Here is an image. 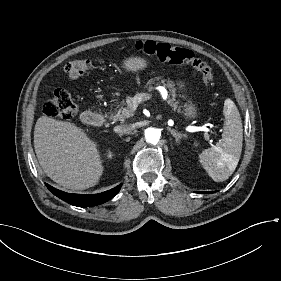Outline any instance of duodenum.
Returning a JSON list of instances; mask_svg holds the SVG:
<instances>
[{"mask_svg":"<svg viewBox=\"0 0 281 281\" xmlns=\"http://www.w3.org/2000/svg\"><path fill=\"white\" fill-rule=\"evenodd\" d=\"M81 120L83 123L91 126H96L104 121V118L92 111L86 110L81 115Z\"/></svg>","mask_w":281,"mask_h":281,"instance_id":"obj_1","label":"duodenum"}]
</instances>
